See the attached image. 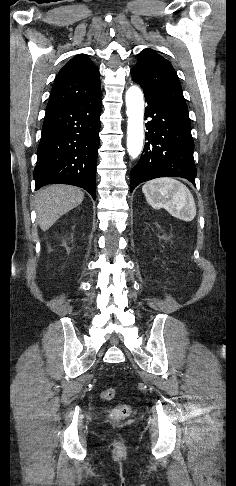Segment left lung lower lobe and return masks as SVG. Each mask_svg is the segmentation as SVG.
Segmentation results:
<instances>
[{
  "label": "left lung lower lobe",
  "instance_id": "left-lung-lower-lobe-1",
  "mask_svg": "<svg viewBox=\"0 0 236 486\" xmlns=\"http://www.w3.org/2000/svg\"><path fill=\"white\" fill-rule=\"evenodd\" d=\"M146 140L140 160L130 173V190L158 177H182L195 185L197 174L193 159L194 142L188 113L163 101L143 88Z\"/></svg>",
  "mask_w": 236,
  "mask_h": 486
}]
</instances>
